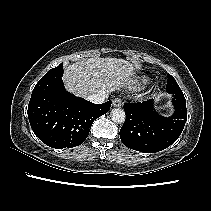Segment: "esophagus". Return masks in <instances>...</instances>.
<instances>
[{"label":"esophagus","mask_w":211,"mask_h":211,"mask_svg":"<svg viewBox=\"0 0 211 211\" xmlns=\"http://www.w3.org/2000/svg\"><path fill=\"white\" fill-rule=\"evenodd\" d=\"M112 105H113L114 107H116V108L121 107V105H122L121 99H120V98H115V99H113Z\"/></svg>","instance_id":"1"}]
</instances>
